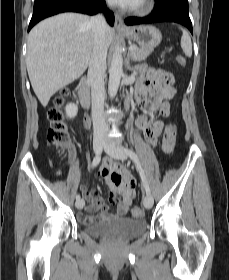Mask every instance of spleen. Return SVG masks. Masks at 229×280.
<instances>
[{
	"label": "spleen",
	"mask_w": 229,
	"mask_h": 280,
	"mask_svg": "<svg viewBox=\"0 0 229 280\" xmlns=\"http://www.w3.org/2000/svg\"><path fill=\"white\" fill-rule=\"evenodd\" d=\"M182 31H183V34H182V37H181V47H182L185 55L188 56V57H191V55H192L191 38H190L187 31H185V30H182Z\"/></svg>",
	"instance_id": "spleen-1"
}]
</instances>
